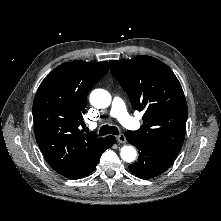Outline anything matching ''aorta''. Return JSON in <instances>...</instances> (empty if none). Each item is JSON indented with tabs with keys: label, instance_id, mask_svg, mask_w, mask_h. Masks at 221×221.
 Instances as JSON below:
<instances>
[{
	"label": "aorta",
	"instance_id": "1",
	"mask_svg": "<svg viewBox=\"0 0 221 221\" xmlns=\"http://www.w3.org/2000/svg\"><path fill=\"white\" fill-rule=\"evenodd\" d=\"M90 103L96 108H107L111 103V95L104 89H95L90 94ZM121 158L128 163L136 159L137 152L131 145H126L121 148Z\"/></svg>",
	"mask_w": 221,
	"mask_h": 221
}]
</instances>
